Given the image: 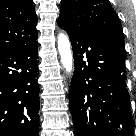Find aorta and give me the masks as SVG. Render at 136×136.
Returning a JSON list of instances; mask_svg holds the SVG:
<instances>
[{
	"label": "aorta",
	"mask_w": 136,
	"mask_h": 136,
	"mask_svg": "<svg viewBox=\"0 0 136 136\" xmlns=\"http://www.w3.org/2000/svg\"><path fill=\"white\" fill-rule=\"evenodd\" d=\"M57 46L63 67L67 73H71L73 70V56L70 40L66 33L61 32L58 35Z\"/></svg>",
	"instance_id": "obj_1"
}]
</instances>
